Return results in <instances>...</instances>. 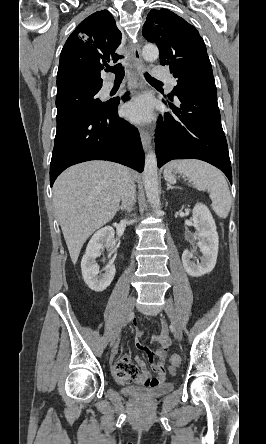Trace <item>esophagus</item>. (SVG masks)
I'll list each match as a JSON object with an SVG mask.
<instances>
[{"mask_svg":"<svg viewBox=\"0 0 266 444\" xmlns=\"http://www.w3.org/2000/svg\"><path fill=\"white\" fill-rule=\"evenodd\" d=\"M132 66L134 67L136 72H140L142 66V57H141V48L139 44L133 46L132 48ZM140 137L143 148L145 151H147L151 143V135L149 131L141 128Z\"/></svg>","mask_w":266,"mask_h":444,"instance_id":"esophagus-1","label":"esophagus"}]
</instances>
